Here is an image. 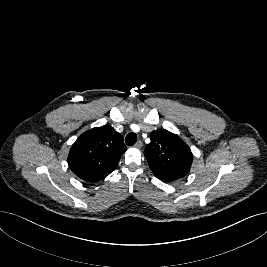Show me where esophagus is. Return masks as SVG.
<instances>
[{"label":"esophagus","instance_id":"obj_1","mask_svg":"<svg viewBox=\"0 0 267 267\" xmlns=\"http://www.w3.org/2000/svg\"><path fill=\"white\" fill-rule=\"evenodd\" d=\"M142 145H143V144H142V141L139 140V141L136 142L135 147H137V148H141Z\"/></svg>","mask_w":267,"mask_h":267}]
</instances>
